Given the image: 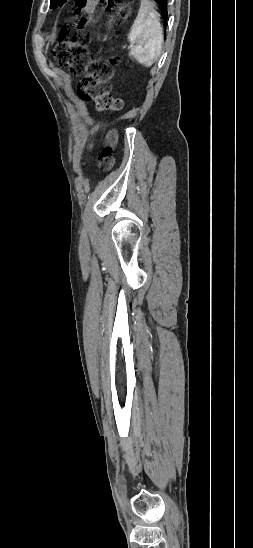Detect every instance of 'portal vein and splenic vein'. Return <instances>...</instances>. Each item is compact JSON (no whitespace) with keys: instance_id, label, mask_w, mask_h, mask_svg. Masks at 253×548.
Segmentation results:
<instances>
[{"instance_id":"1","label":"portal vein and splenic vein","mask_w":253,"mask_h":548,"mask_svg":"<svg viewBox=\"0 0 253 548\" xmlns=\"http://www.w3.org/2000/svg\"><path fill=\"white\" fill-rule=\"evenodd\" d=\"M134 46L133 45H129L127 46V49H132Z\"/></svg>"}]
</instances>
